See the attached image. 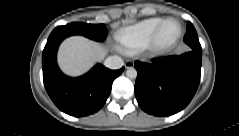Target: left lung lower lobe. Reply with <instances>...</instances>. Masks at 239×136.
<instances>
[{"label": "left lung lower lobe", "mask_w": 239, "mask_h": 136, "mask_svg": "<svg viewBox=\"0 0 239 136\" xmlns=\"http://www.w3.org/2000/svg\"><path fill=\"white\" fill-rule=\"evenodd\" d=\"M202 53L191 50L151 63L135 62V96L139 106L155 116L184 109L193 98L201 75Z\"/></svg>", "instance_id": "obj_1"}]
</instances>
